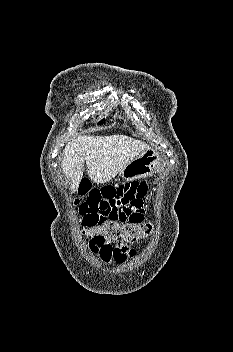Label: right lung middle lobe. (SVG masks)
Segmentation results:
<instances>
[{
    "label": "right lung middle lobe",
    "instance_id": "dd1d6c3e",
    "mask_svg": "<svg viewBox=\"0 0 233 352\" xmlns=\"http://www.w3.org/2000/svg\"><path fill=\"white\" fill-rule=\"evenodd\" d=\"M102 121H103V120H101L98 124H101Z\"/></svg>",
    "mask_w": 233,
    "mask_h": 352
}]
</instances>
